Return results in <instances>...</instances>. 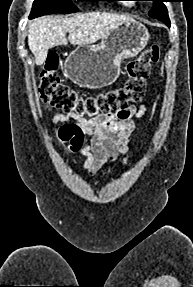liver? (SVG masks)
Here are the masks:
<instances>
[{"label": "liver", "mask_w": 193, "mask_h": 287, "mask_svg": "<svg viewBox=\"0 0 193 287\" xmlns=\"http://www.w3.org/2000/svg\"><path fill=\"white\" fill-rule=\"evenodd\" d=\"M130 21L133 19L128 16L106 12H90L70 18L40 17L28 27V46L35 56L36 65H42L49 49L68 44L67 32L71 44L89 45Z\"/></svg>", "instance_id": "liver-1"}]
</instances>
